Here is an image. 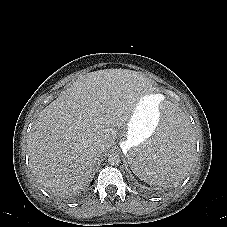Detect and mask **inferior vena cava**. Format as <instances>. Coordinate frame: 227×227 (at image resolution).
Masks as SVG:
<instances>
[{
    "mask_svg": "<svg viewBox=\"0 0 227 227\" xmlns=\"http://www.w3.org/2000/svg\"><path fill=\"white\" fill-rule=\"evenodd\" d=\"M105 147H106L105 144H99L95 147V152L97 154H100L105 150Z\"/></svg>",
    "mask_w": 227,
    "mask_h": 227,
    "instance_id": "inferior-vena-cava-1",
    "label": "inferior vena cava"
}]
</instances>
